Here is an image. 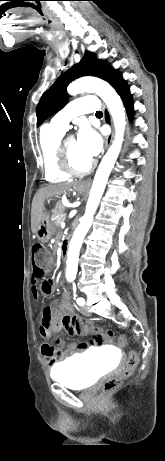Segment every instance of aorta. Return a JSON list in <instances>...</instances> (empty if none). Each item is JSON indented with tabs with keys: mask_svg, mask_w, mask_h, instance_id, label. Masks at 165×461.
Segmentation results:
<instances>
[{
	"mask_svg": "<svg viewBox=\"0 0 165 461\" xmlns=\"http://www.w3.org/2000/svg\"><path fill=\"white\" fill-rule=\"evenodd\" d=\"M67 92L73 96L84 92L96 93L107 105L115 127V139L96 171L85 214L81 218L80 224L76 228L69 244L66 279L72 281L77 274L79 252L83 239L92 225L94 213L105 190L111 170L120 153L126 121L125 110L120 97L104 80L94 77H83L72 82L68 86Z\"/></svg>",
	"mask_w": 165,
	"mask_h": 461,
	"instance_id": "762f6f07",
	"label": "aorta"
}]
</instances>
